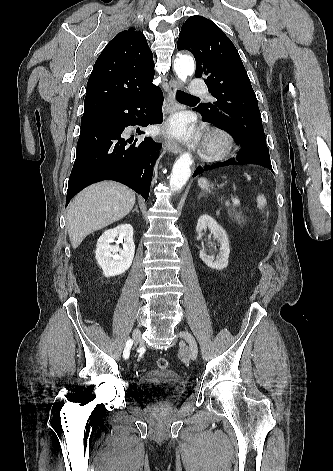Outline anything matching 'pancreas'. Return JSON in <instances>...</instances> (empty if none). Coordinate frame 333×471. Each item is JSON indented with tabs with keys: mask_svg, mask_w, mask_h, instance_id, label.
<instances>
[{
	"mask_svg": "<svg viewBox=\"0 0 333 471\" xmlns=\"http://www.w3.org/2000/svg\"><path fill=\"white\" fill-rule=\"evenodd\" d=\"M228 214H229V217L233 221H235L238 225H242L246 223L245 216L241 212H238L236 208L228 209Z\"/></svg>",
	"mask_w": 333,
	"mask_h": 471,
	"instance_id": "pancreas-1",
	"label": "pancreas"
}]
</instances>
